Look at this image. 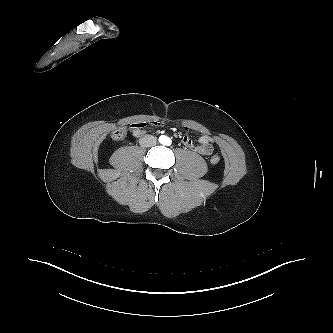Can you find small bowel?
Returning <instances> with one entry per match:
<instances>
[{"label": "small bowel", "mask_w": 333, "mask_h": 333, "mask_svg": "<svg viewBox=\"0 0 333 333\" xmlns=\"http://www.w3.org/2000/svg\"><path fill=\"white\" fill-rule=\"evenodd\" d=\"M155 126H163V122H154ZM146 124L143 122H138L131 125V131L134 136L139 137L145 133ZM182 143L188 148H193L197 153L201 155H210L213 151L212 140L207 135H201L198 139V143L194 144L192 139L188 136L182 138Z\"/></svg>", "instance_id": "small-bowel-1"}]
</instances>
